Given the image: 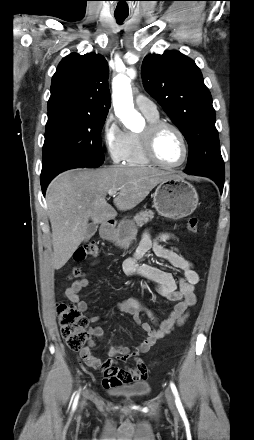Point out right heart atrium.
I'll return each instance as SVG.
<instances>
[{
    "instance_id": "d8ad5b80",
    "label": "right heart atrium",
    "mask_w": 254,
    "mask_h": 440,
    "mask_svg": "<svg viewBox=\"0 0 254 440\" xmlns=\"http://www.w3.org/2000/svg\"><path fill=\"white\" fill-rule=\"evenodd\" d=\"M102 133L111 160L114 163L124 162L130 145V133L120 126L112 114L106 117Z\"/></svg>"
}]
</instances>
